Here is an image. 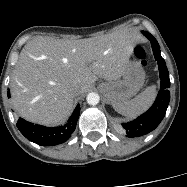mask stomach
<instances>
[{
	"label": "stomach",
	"instance_id": "stomach-1",
	"mask_svg": "<svg viewBox=\"0 0 187 187\" xmlns=\"http://www.w3.org/2000/svg\"><path fill=\"white\" fill-rule=\"evenodd\" d=\"M145 72L136 60H130L123 75L115 81L101 83L99 89L109 104L125 102L132 98L142 88Z\"/></svg>",
	"mask_w": 187,
	"mask_h": 187
}]
</instances>
